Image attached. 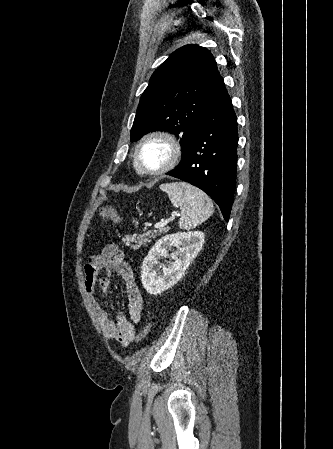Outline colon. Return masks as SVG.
Wrapping results in <instances>:
<instances>
[{
	"label": "colon",
	"instance_id": "5ec220e1",
	"mask_svg": "<svg viewBox=\"0 0 333 449\" xmlns=\"http://www.w3.org/2000/svg\"><path fill=\"white\" fill-rule=\"evenodd\" d=\"M100 216H101V218H103L105 220H109L116 224H118L121 221V218H120V215L118 214V212L110 206L101 208ZM155 322H156V320L153 316H150L146 320L145 325L143 326L140 333L138 334V337H137L138 341H142L147 337V335L150 333V331L154 327Z\"/></svg>",
	"mask_w": 333,
	"mask_h": 449
}]
</instances>
